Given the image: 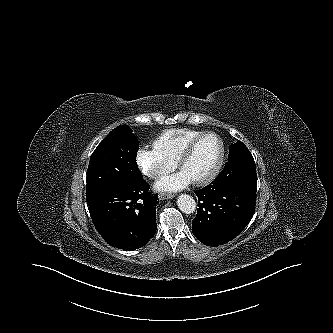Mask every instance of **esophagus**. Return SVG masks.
Segmentation results:
<instances>
[{
  "label": "esophagus",
  "mask_w": 333,
  "mask_h": 333,
  "mask_svg": "<svg viewBox=\"0 0 333 333\" xmlns=\"http://www.w3.org/2000/svg\"><path fill=\"white\" fill-rule=\"evenodd\" d=\"M174 197V194L170 193H161L159 194V199L164 200V199H172Z\"/></svg>",
  "instance_id": "esophagus-1"
}]
</instances>
